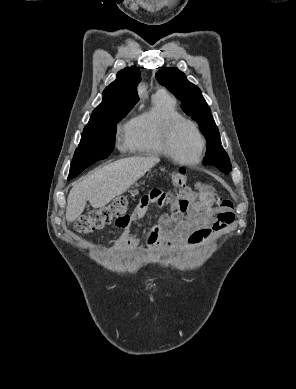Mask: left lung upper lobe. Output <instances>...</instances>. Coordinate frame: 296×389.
<instances>
[{
	"label": "left lung upper lobe",
	"mask_w": 296,
	"mask_h": 389,
	"mask_svg": "<svg viewBox=\"0 0 296 389\" xmlns=\"http://www.w3.org/2000/svg\"><path fill=\"white\" fill-rule=\"evenodd\" d=\"M156 78L161 85H164L180 99L184 112L198 123L207 141L206 157L203 164L215 166L228 174L231 171V163L221 146L218 128L199 87L189 82L185 74L174 67L159 70L156 73Z\"/></svg>",
	"instance_id": "5c2ea615"
}]
</instances>
